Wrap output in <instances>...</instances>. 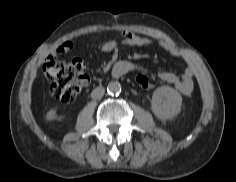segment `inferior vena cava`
<instances>
[{
	"label": "inferior vena cava",
	"instance_id": "inferior-vena-cava-1",
	"mask_svg": "<svg viewBox=\"0 0 236 182\" xmlns=\"http://www.w3.org/2000/svg\"><path fill=\"white\" fill-rule=\"evenodd\" d=\"M104 93H105V88H104V87H102V86L96 87V88L92 91L91 97H92L93 99H100V98L103 97Z\"/></svg>",
	"mask_w": 236,
	"mask_h": 182
}]
</instances>
